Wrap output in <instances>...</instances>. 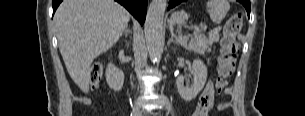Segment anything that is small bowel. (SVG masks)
Returning <instances> with one entry per match:
<instances>
[{
    "mask_svg": "<svg viewBox=\"0 0 305 116\" xmlns=\"http://www.w3.org/2000/svg\"><path fill=\"white\" fill-rule=\"evenodd\" d=\"M215 92L214 86L211 80L207 82L205 85L200 97L199 101L196 105V108L192 114V116H208L210 110L215 105ZM227 107V104H219V110H223Z\"/></svg>",
    "mask_w": 305,
    "mask_h": 116,
    "instance_id": "c3829d8e",
    "label": "small bowel"
}]
</instances>
